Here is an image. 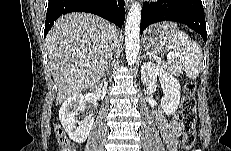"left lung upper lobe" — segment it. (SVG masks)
I'll use <instances>...</instances> for the list:
<instances>
[{
  "instance_id": "obj_1",
  "label": "left lung upper lobe",
  "mask_w": 231,
  "mask_h": 151,
  "mask_svg": "<svg viewBox=\"0 0 231 151\" xmlns=\"http://www.w3.org/2000/svg\"><path fill=\"white\" fill-rule=\"evenodd\" d=\"M176 0H166V2H168V3H173V2H175Z\"/></svg>"
}]
</instances>
